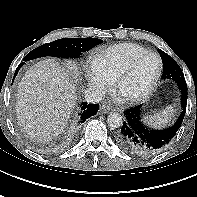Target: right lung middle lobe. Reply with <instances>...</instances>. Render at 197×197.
<instances>
[{
  "mask_svg": "<svg viewBox=\"0 0 197 197\" xmlns=\"http://www.w3.org/2000/svg\"><path fill=\"white\" fill-rule=\"evenodd\" d=\"M103 42L97 38H64L50 43L43 44L29 52L25 60H31L44 56H53L58 58H78L83 52H86L96 45Z\"/></svg>",
  "mask_w": 197,
  "mask_h": 197,
  "instance_id": "1",
  "label": "right lung middle lobe"
}]
</instances>
